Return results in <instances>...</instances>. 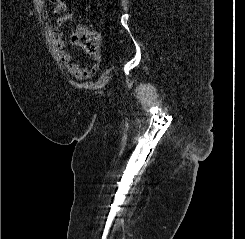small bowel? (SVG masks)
I'll return each mask as SVG.
<instances>
[{
    "label": "small bowel",
    "mask_w": 245,
    "mask_h": 239,
    "mask_svg": "<svg viewBox=\"0 0 245 239\" xmlns=\"http://www.w3.org/2000/svg\"><path fill=\"white\" fill-rule=\"evenodd\" d=\"M54 4L53 11L55 14H59L54 25V36L56 45L60 49L61 60L72 76L77 79H89L98 72L102 61V55L99 51L93 52L91 54V60L93 62L91 66H83L80 63L73 61L71 54L64 50L61 28L66 22L74 18V12L67 9V4L63 0H58V2Z\"/></svg>",
    "instance_id": "obj_1"
}]
</instances>
